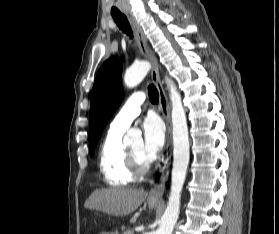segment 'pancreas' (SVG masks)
Returning <instances> with one entry per match:
<instances>
[{"label":"pancreas","instance_id":"obj_1","mask_svg":"<svg viewBox=\"0 0 279 234\" xmlns=\"http://www.w3.org/2000/svg\"><path fill=\"white\" fill-rule=\"evenodd\" d=\"M124 234H133V232L132 231H126V232H124Z\"/></svg>","mask_w":279,"mask_h":234}]
</instances>
